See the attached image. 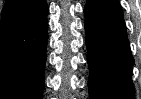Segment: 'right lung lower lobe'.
<instances>
[{
    "label": "right lung lower lobe",
    "mask_w": 141,
    "mask_h": 99,
    "mask_svg": "<svg viewBox=\"0 0 141 99\" xmlns=\"http://www.w3.org/2000/svg\"><path fill=\"white\" fill-rule=\"evenodd\" d=\"M47 13L45 0H6L0 19V99H41Z\"/></svg>",
    "instance_id": "1"
}]
</instances>
